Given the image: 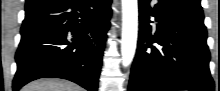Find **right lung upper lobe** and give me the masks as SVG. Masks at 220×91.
I'll list each match as a JSON object with an SVG mask.
<instances>
[{
	"label": "right lung upper lobe",
	"mask_w": 220,
	"mask_h": 91,
	"mask_svg": "<svg viewBox=\"0 0 220 91\" xmlns=\"http://www.w3.org/2000/svg\"><path fill=\"white\" fill-rule=\"evenodd\" d=\"M32 1H34V3H43L50 0H32Z\"/></svg>",
	"instance_id": "right-lung-upper-lobe-1"
}]
</instances>
